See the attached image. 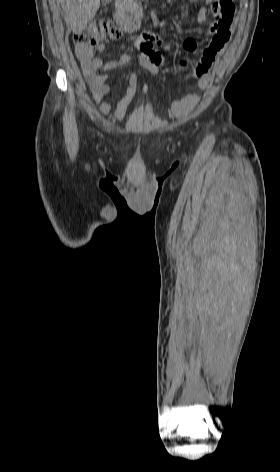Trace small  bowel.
I'll list each match as a JSON object with an SVG mask.
<instances>
[{
    "instance_id": "small-bowel-1",
    "label": "small bowel",
    "mask_w": 280,
    "mask_h": 472,
    "mask_svg": "<svg viewBox=\"0 0 280 472\" xmlns=\"http://www.w3.org/2000/svg\"><path fill=\"white\" fill-rule=\"evenodd\" d=\"M195 2L197 0H190ZM208 4H212L213 0H205ZM208 11L202 8L197 13L199 23L205 24L207 22ZM231 24L221 26L215 23L209 28L208 34L200 41L193 39H186L183 42V51L186 55H194L201 53L199 61L193 68V76L196 78V86L200 90H206L209 86V69L216 57L222 51L231 36ZM161 44L160 38L152 32H145L140 36L139 48L140 55L138 62L140 66L151 74H158L162 57L157 48ZM99 50H103L104 46L100 45ZM76 55L81 63L82 71L88 88L99 104L100 110L105 115L113 117L114 119H121L126 112L127 106L131 102L138 83L139 76L137 73H132L129 77L125 95L117 104V107L112 111L111 106L107 100V95L110 92V87L107 84L109 76L105 73L108 70L117 69L125 66L131 61V55L128 53L122 54L120 57L104 61L102 58L94 57L93 49L83 45H76ZM200 96L197 94H190L181 99L175 100L171 105V114L175 118H182L189 114L199 103Z\"/></svg>"
}]
</instances>
